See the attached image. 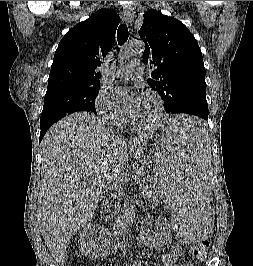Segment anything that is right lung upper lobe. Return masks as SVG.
<instances>
[{
  "label": "right lung upper lobe",
  "mask_w": 253,
  "mask_h": 266,
  "mask_svg": "<svg viewBox=\"0 0 253 266\" xmlns=\"http://www.w3.org/2000/svg\"><path fill=\"white\" fill-rule=\"evenodd\" d=\"M119 15L101 9L70 29L55 52L47 91L100 84L101 66L115 42Z\"/></svg>",
  "instance_id": "1"
}]
</instances>
